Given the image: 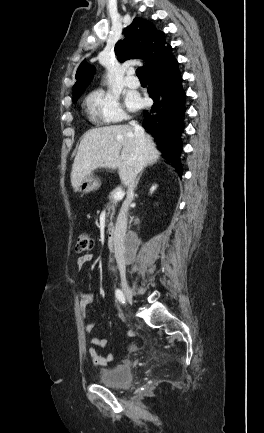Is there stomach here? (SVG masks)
Masks as SVG:
<instances>
[{"mask_svg":"<svg viewBox=\"0 0 264 433\" xmlns=\"http://www.w3.org/2000/svg\"><path fill=\"white\" fill-rule=\"evenodd\" d=\"M101 186L100 180L93 175H88L84 178L79 186V192L89 193L91 191L98 190Z\"/></svg>","mask_w":264,"mask_h":433,"instance_id":"stomach-1","label":"stomach"}]
</instances>
